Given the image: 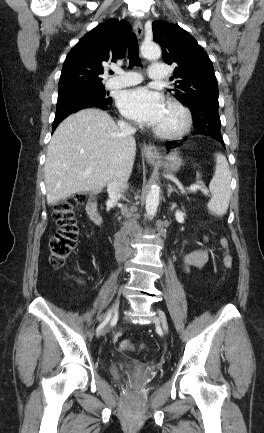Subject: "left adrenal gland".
Here are the masks:
<instances>
[{
    "label": "left adrenal gland",
    "instance_id": "a2214340",
    "mask_svg": "<svg viewBox=\"0 0 264 433\" xmlns=\"http://www.w3.org/2000/svg\"><path fill=\"white\" fill-rule=\"evenodd\" d=\"M172 192H178V190L176 188H173L172 185L169 183L167 189V196L169 197Z\"/></svg>",
    "mask_w": 264,
    "mask_h": 433
}]
</instances>
